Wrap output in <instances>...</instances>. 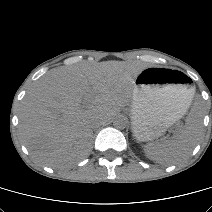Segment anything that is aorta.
Wrapping results in <instances>:
<instances>
[{"label": "aorta", "mask_w": 212, "mask_h": 212, "mask_svg": "<svg viewBox=\"0 0 212 212\" xmlns=\"http://www.w3.org/2000/svg\"><path fill=\"white\" fill-rule=\"evenodd\" d=\"M113 125L117 129H124L128 125V120L125 116L119 115L114 119Z\"/></svg>", "instance_id": "762f6f07"}]
</instances>
